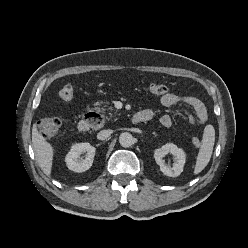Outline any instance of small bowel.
<instances>
[{"label":"small bowel","instance_id":"c3829d8e","mask_svg":"<svg viewBox=\"0 0 248 248\" xmlns=\"http://www.w3.org/2000/svg\"><path fill=\"white\" fill-rule=\"evenodd\" d=\"M160 102L165 107H172L179 103H183L191 107L192 112L189 113L188 119L193 125H202L207 121L208 113L204 103L194 96H180L174 93H167L160 98ZM142 112L146 114L149 119H151L154 115L152 109H145ZM160 122L167 128L171 127L173 123L171 116L168 114L163 115Z\"/></svg>","mask_w":248,"mask_h":248}]
</instances>
